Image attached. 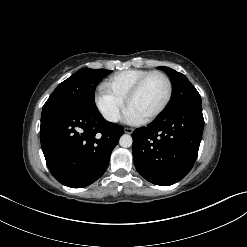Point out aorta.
Segmentation results:
<instances>
[{
	"label": "aorta",
	"mask_w": 247,
	"mask_h": 247,
	"mask_svg": "<svg viewBox=\"0 0 247 247\" xmlns=\"http://www.w3.org/2000/svg\"><path fill=\"white\" fill-rule=\"evenodd\" d=\"M132 143H133V139L130 135L124 134L120 137V140H119L120 146L127 148V147L132 146Z\"/></svg>",
	"instance_id": "1"
}]
</instances>
